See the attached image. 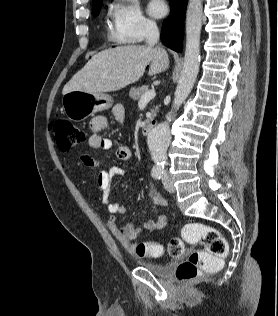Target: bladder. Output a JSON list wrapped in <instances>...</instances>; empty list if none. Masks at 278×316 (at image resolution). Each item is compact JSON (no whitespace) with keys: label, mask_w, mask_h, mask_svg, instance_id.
I'll list each match as a JSON object with an SVG mask.
<instances>
[{"label":"bladder","mask_w":278,"mask_h":316,"mask_svg":"<svg viewBox=\"0 0 278 316\" xmlns=\"http://www.w3.org/2000/svg\"><path fill=\"white\" fill-rule=\"evenodd\" d=\"M137 264L140 267L145 268L152 274L160 277H165L168 276L172 270H173V264H161V263H156V262H150V261H137Z\"/></svg>","instance_id":"bladder-1"}]
</instances>
